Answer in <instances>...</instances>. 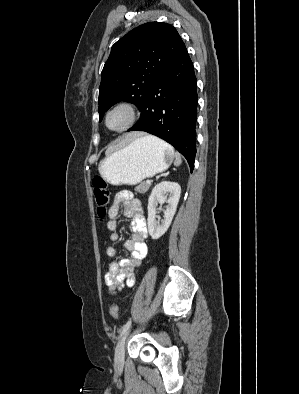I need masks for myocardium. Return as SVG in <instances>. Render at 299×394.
<instances>
[{
  "mask_svg": "<svg viewBox=\"0 0 299 394\" xmlns=\"http://www.w3.org/2000/svg\"><path fill=\"white\" fill-rule=\"evenodd\" d=\"M123 110L127 114L126 122L119 128H111L109 126L108 120L112 113ZM139 112L136 105L130 101H119L112 105L105 113L104 123L108 130L115 133H122L135 125L138 120Z\"/></svg>",
  "mask_w": 299,
  "mask_h": 394,
  "instance_id": "1",
  "label": "myocardium"
}]
</instances>
